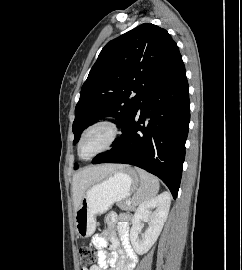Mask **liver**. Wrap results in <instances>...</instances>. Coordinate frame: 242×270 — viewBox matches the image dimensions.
I'll return each mask as SVG.
<instances>
[{
    "instance_id": "obj_1",
    "label": "liver",
    "mask_w": 242,
    "mask_h": 270,
    "mask_svg": "<svg viewBox=\"0 0 242 270\" xmlns=\"http://www.w3.org/2000/svg\"><path fill=\"white\" fill-rule=\"evenodd\" d=\"M123 165L106 164L84 168L73 175L72 193L75 212L79 208L82 198L89 187L105 179L113 171Z\"/></svg>"
}]
</instances>
